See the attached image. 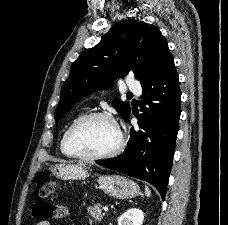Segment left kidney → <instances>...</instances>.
Here are the masks:
<instances>
[{"instance_id":"1","label":"left kidney","mask_w":228,"mask_h":225,"mask_svg":"<svg viewBox=\"0 0 228 225\" xmlns=\"http://www.w3.org/2000/svg\"><path fill=\"white\" fill-rule=\"evenodd\" d=\"M144 213L140 209H128L118 219V225H143Z\"/></svg>"}]
</instances>
